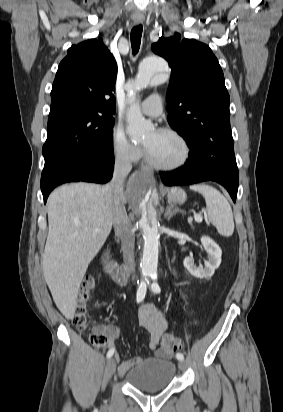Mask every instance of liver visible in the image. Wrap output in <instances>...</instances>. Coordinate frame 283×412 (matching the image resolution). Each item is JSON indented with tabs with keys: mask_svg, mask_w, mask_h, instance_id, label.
Masks as SVG:
<instances>
[{
	"mask_svg": "<svg viewBox=\"0 0 283 412\" xmlns=\"http://www.w3.org/2000/svg\"><path fill=\"white\" fill-rule=\"evenodd\" d=\"M108 185H63L47 202L49 230L42 257L43 275L53 300L72 319L81 281L113 224Z\"/></svg>",
	"mask_w": 283,
	"mask_h": 412,
	"instance_id": "liver-1",
	"label": "liver"
}]
</instances>
